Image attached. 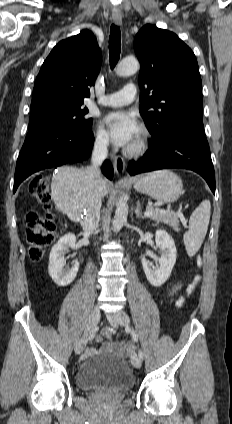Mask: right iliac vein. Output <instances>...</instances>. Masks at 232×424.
I'll use <instances>...</instances> for the list:
<instances>
[{
    "label": "right iliac vein",
    "mask_w": 232,
    "mask_h": 424,
    "mask_svg": "<svg viewBox=\"0 0 232 424\" xmlns=\"http://www.w3.org/2000/svg\"><path fill=\"white\" fill-rule=\"evenodd\" d=\"M99 320H100V309L99 307H95L90 313L83 336L76 342V345L74 348L76 354H80L84 350L87 337L89 336V334H91L95 330Z\"/></svg>",
    "instance_id": "right-iliac-vein-1"
}]
</instances>
